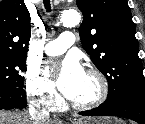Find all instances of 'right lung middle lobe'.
Masks as SVG:
<instances>
[{
  "instance_id": "obj_1",
  "label": "right lung middle lobe",
  "mask_w": 145,
  "mask_h": 124,
  "mask_svg": "<svg viewBox=\"0 0 145 124\" xmlns=\"http://www.w3.org/2000/svg\"><path fill=\"white\" fill-rule=\"evenodd\" d=\"M26 57L0 53V87L23 88Z\"/></svg>"
}]
</instances>
